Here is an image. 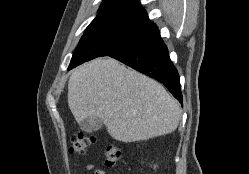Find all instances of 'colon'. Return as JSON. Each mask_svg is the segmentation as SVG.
<instances>
[{
	"label": "colon",
	"mask_w": 249,
	"mask_h": 174,
	"mask_svg": "<svg viewBox=\"0 0 249 174\" xmlns=\"http://www.w3.org/2000/svg\"><path fill=\"white\" fill-rule=\"evenodd\" d=\"M95 143L93 136L80 133L72 138L70 152L73 154H84ZM122 158V150L114 145L108 146L105 150V163L107 166H114Z\"/></svg>",
	"instance_id": "1"
}]
</instances>
